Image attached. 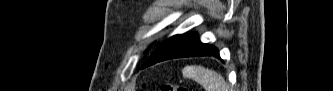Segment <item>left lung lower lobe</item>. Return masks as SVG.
Masks as SVG:
<instances>
[{"label": "left lung lower lobe", "mask_w": 333, "mask_h": 91, "mask_svg": "<svg viewBox=\"0 0 333 91\" xmlns=\"http://www.w3.org/2000/svg\"><path fill=\"white\" fill-rule=\"evenodd\" d=\"M214 56L219 57L216 47L203 44L197 33L175 35L163 42L149 57L142 68L168 59L179 57Z\"/></svg>", "instance_id": "1"}]
</instances>
